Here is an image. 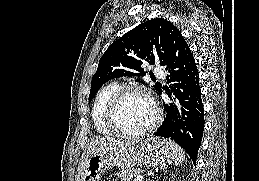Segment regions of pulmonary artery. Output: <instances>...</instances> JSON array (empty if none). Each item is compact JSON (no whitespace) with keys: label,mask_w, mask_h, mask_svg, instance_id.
<instances>
[{"label":"pulmonary artery","mask_w":259,"mask_h":181,"mask_svg":"<svg viewBox=\"0 0 259 181\" xmlns=\"http://www.w3.org/2000/svg\"><path fill=\"white\" fill-rule=\"evenodd\" d=\"M154 72H155L159 77H161V78L164 77V73H163V71H162L159 67L155 66V67H154Z\"/></svg>","instance_id":"pulmonary-artery-1"}]
</instances>
